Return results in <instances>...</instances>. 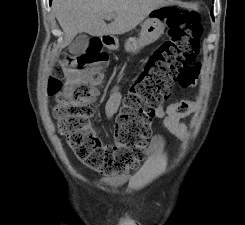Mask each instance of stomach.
I'll list each match as a JSON object with an SVG mask.
<instances>
[{"mask_svg":"<svg viewBox=\"0 0 245 225\" xmlns=\"http://www.w3.org/2000/svg\"><path fill=\"white\" fill-rule=\"evenodd\" d=\"M164 6L158 7L151 11L148 18L141 27L139 37H131L125 42V51L131 54H137L143 47L154 43L163 33L165 25L162 22L161 15L164 12ZM118 46L116 41L113 48Z\"/></svg>","mask_w":245,"mask_h":225,"instance_id":"0dacf381","label":"stomach"}]
</instances>
